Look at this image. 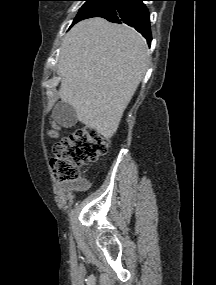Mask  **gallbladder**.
I'll return each mask as SVG.
<instances>
[{
  "mask_svg": "<svg viewBox=\"0 0 216 285\" xmlns=\"http://www.w3.org/2000/svg\"><path fill=\"white\" fill-rule=\"evenodd\" d=\"M53 119L66 128L72 127L77 122L76 111L70 104L59 102L54 107Z\"/></svg>",
  "mask_w": 216,
  "mask_h": 285,
  "instance_id": "gallbladder-1",
  "label": "gallbladder"
}]
</instances>
